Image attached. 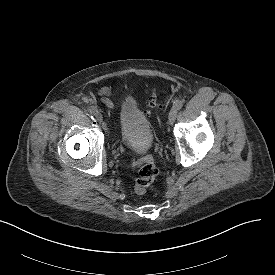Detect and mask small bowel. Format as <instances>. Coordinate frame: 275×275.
I'll return each instance as SVG.
<instances>
[{
	"instance_id": "obj_1",
	"label": "small bowel",
	"mask_w": 275,
	"mask_h": 275,
	"mask_svg": "<svg viewBox=\"0 0 275 275\" xmlns=\"http://www.w3.org/2000/svg\"><path fill=\"white\" fill-rule=\"evenodd\" d=\"M99 96L102 102L110 109H116L117 105L111 91L108 88H102L99 91Z\"/></svg>"
}]
</instances>
